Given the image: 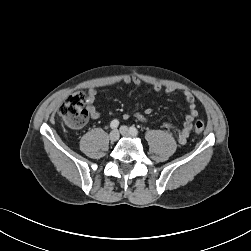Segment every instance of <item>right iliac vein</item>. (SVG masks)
Segmentation results:
<instances>
[{"instance_id":"1","label":"right iliac vein","mask_w":251,"mask_h":251,"mask_svg":"<svg viewBox=\"0 0 251 251\" xmlns=\"http://www.w3.org/2000/svg\"><path fill=\"white\" fill-rule=\"evenodd\" d=\"M119 138V133H118V130L114 129L110 132L109 134V139L112 141V142H115L117 141V139Z\"/></svg>"}]
</instances>
